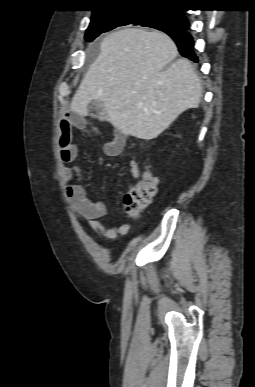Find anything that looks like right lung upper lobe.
Returning <instances> with one entry per match:
<instances>
[{"label": "right lung upper lobe", "instance_id": "right-lung-upper-lobe-1", "mask_svg": "<svg viewBox=\"0 0 255 387\" xmlns=\"http://www.w3.org/2000/svg\"><path fill=\"white\" fill-rule=\"evenodd\" d=\"M99 5L93 9V14L107 12L117 9H128V8H170L174 9L180 0H98ZM179 11L185 18L181 10ZM189 26V23L187 27ZM167 30V29H164Z\"/></svg>", "mask_w": 255, "mask_h": 387}]
</instances>
